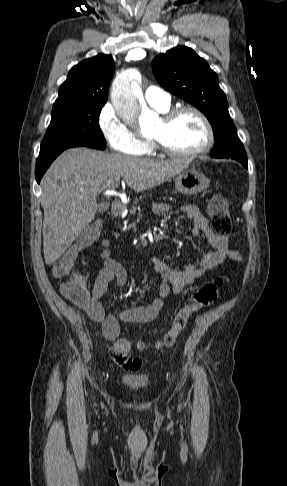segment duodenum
<instances>
[{
    "label": "duodenum",
    "mask_w": 287,
    "mask_h": 486,
    "mask_svg": "<svg viewBox=\"0 0 287 486\" xmlns=\"http://www.w3.org/2000/svg\"><path fill=\"white\" fill-rule=\"evenodd\" d=\"M124 211V204L120 201H114L111 206V215L113 217L120 216Z\"/></svg>",
    "instance_id": "410a0bca"
}]
</instances>
